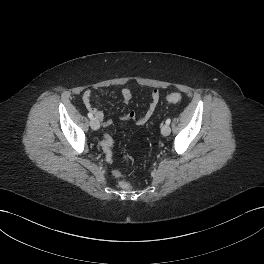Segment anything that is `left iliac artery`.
I'll use <instances>...</instances> for the list:
<instances>
[{"instance_id": "left-iliac-artery-1", "label": "left iliac artery", "mask_w": 264, "mask_h": 264, "mask_svg": "<svg viewBox=\"0 0 264 264\" xmlns=\"http://www.w3.org/2000/svg\"><path fill=\"white\" fill-rule=\"evenodd\" d=\"M170 123H171V119L168 118V119L166 120V124L169 125Z\"/></svg>"}]
</instances>
